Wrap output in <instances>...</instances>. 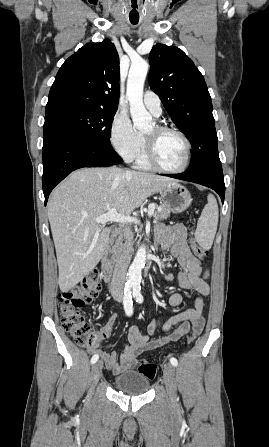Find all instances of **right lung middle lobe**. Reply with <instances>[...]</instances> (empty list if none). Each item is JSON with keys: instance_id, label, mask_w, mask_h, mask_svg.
<instances>
[{"instance_id": "1", "label": "right lung middle lobe", "mask_w": 269, "mask_h": 447, "mask_svg": "<svg viewBox=\"0 0 269 447\" xmlns=\"http://www.w3.org/2000/svg\"><path fill=\"white\" fill-rule=\"evenodd\" d=\"M117 109L63 107L45 114V121L68 126L75 133L112 148L110 133Z\"/></svg>"}]
</instances>
